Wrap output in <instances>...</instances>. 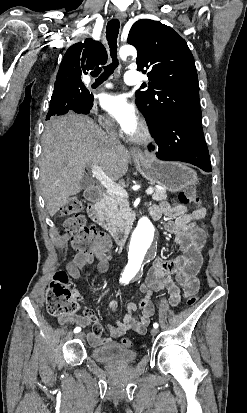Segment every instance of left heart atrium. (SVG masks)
Here are the masks:
<instances>
[{"label": "left heart atrium", "mask_w": 247, "mask_h": 413, "mask_svg": "<svg viewBox=\"0 0 247 413\" xmlns=\"http://www.w3.org/2000/svg\"><path fill=\"white\" fill-rule=\"evenodd\" d=\"M102 107L115 118L120 129L134 136L140 127V115L134 104L122 94H106L100 99Z\"/></svg>", "instance_id": "39dd6f15"}]
</instances>
